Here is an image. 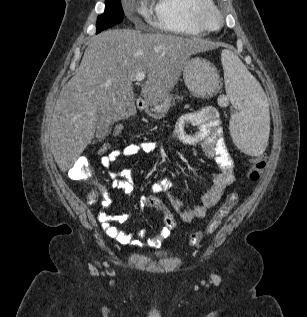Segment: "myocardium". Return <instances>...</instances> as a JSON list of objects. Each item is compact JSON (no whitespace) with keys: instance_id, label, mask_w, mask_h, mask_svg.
Wrapping results in <instances>:
<instances>
[{"instance_id":"f54148a6","label":"myocardium","mask_w":307,"mask_h":317,"mask_svg":"<svg viewBox=\"0 0 307 317\" xmlns=\"http://www.w3.org/2000/svg\"><path fill=\"white\" fill-rule=\"evenodd\" d=\"M194 18L196 23L205 32H213L220 29L223 24V15L220 9L210 0L207 3L197 5L194 10ZM209 14H212L216 18L214 25L210 24L208 20Z\"/></svg>"}]
</instances>
